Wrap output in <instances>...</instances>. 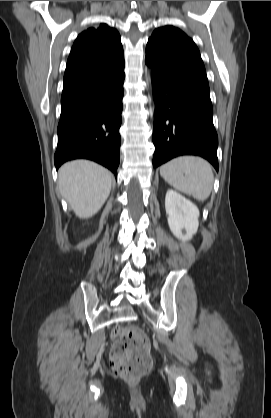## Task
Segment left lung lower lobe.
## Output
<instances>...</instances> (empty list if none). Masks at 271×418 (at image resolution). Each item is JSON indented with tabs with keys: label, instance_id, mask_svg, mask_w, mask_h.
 Returning a JSON list of instances; mask_svg holds the SVG:
<instances>
[{
	"label": "left lung lower lobe",
	"instance_id": "0a47b994",
	"mask_svg": "<svg viewBox=\"0 0 271 418\" xmlns=\"http://www.w3.org/2000/svg\"><path fill=\"white\" fill-rule=\"evenodd\" d=\"M156 105L153 166L180 155H199L218 171V137L205 69L186 62L148 41Z\"/></svg>",
	"mask_w": 271,
	"mask_h": 418
}]
</instances>
